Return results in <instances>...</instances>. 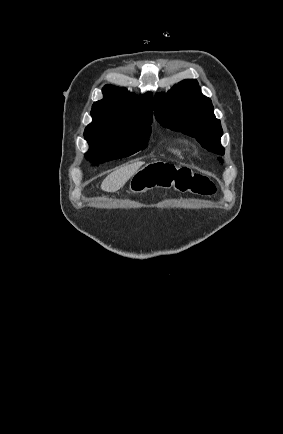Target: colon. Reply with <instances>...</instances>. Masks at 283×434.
Listing matches in <instances>:
<instances>
[{
  "label": "colon",
  "instance_id": "colon-1",
  "mask_svg": "<svg viewBox=\"0 0 283 434\" xmlns=\"http://www.w3.org/2000/svg\"><path fill=\"white\" fill-rule=\"evenodd\" d=\"M131 187L136 193L153 188H175L182 192L210 196L216 191L214 183L206 174L162 162L149 164L140 169Z\"/></svg>",
  "mask_w": 283,
  "mask_h": 434
}]
</instances>
